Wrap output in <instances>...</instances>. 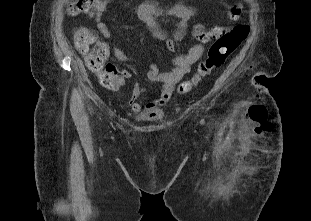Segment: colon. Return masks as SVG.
I'll return each mask as SVG.
<instances>
[{
	"mask_svg": "<svg viewBox=\"0 0 311 221\" xmlns=\"http://www.w3.org/2000/svg\"><path fill=\"white\" fill-rule=\"evenodd\" d=\"M102 2L103 0L67 1L65 11L69 12L70 17H92L95 6L87 4H102ZM223 3L227 4L231 20L246 17V13H242L240 2L231 3V0H223ZM224 31H228V29L222 26H216L209 32L202 29L197 30L196 39L200 42L211 40V36L214 34L218 35V39L210 47L207 58L199 63L196 73L177 86L178 94L189 93L210 76L215 69L221 67L225 59L233 54L247 37L248 26L240 23L239 26H235L233 33H229V36H224ZM74 44L84 57L87 67L97 76L99 82L103 86H109L114 76L113 71L105 63L108 59V46L104 42L98 41L96 33L86 27L76 30Z\"/></svg>",
	"mask_w": 311,
	"mask_h": 221,
	"instance_id": "1",
	"label": "colon"
}]
</instances>
